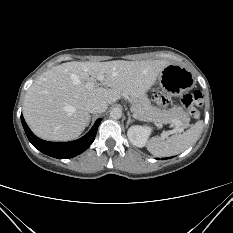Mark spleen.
<instances>
[{
  "instance_id": "1",
  "label": "spleen",
  "mask_w": 233,
  "mask_h": 233,
  "mask_svg": "<svg viewBox=\"0 0 233 233\" xmlns=\"http://www.w3.org/2000/svg\"><path fill=\"white\" fill-rule=\"evenodd\" d=\"M203 122H196L182 134L172 135L168 138L157 137L147 144V150L157 157H168L179 154L195 143L202 132Z\"/></svg>"
}]
</instances>
